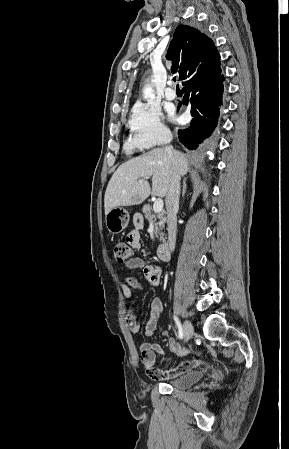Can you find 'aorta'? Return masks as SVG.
I'll list each match as a JSON object with an SVG mask.
<instances>
[{"mask_svg":"<svg viewBox=\"0 0 289 449\" xmlns=\"http://www.w3.org/2000/svg\"><path fill=\"white\" fill-rule=\"evenodd\" d=\"M153 95H154V91H153L152 87L146 86L143 90L144 99H148V98L152 97Z\"/></svg>","mask_w":289,"mask_h":449,"instance_id":"762f6f07","label":"aorta"}]
</instances>
